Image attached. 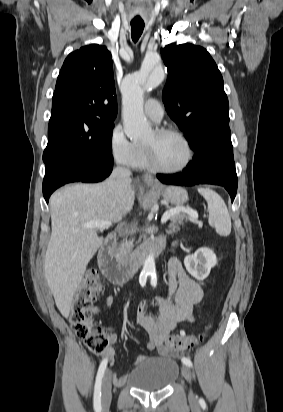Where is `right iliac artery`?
I'll use <instances>...</instances> for the list:
<instances>
[{
	"label": "right iliac artery",
	"mask_w": 283,
	"mask_h": 412,
	"mask_svg": "<svg viewBox=\"0 0 283 412\" xmlns=\"http://www.w3.org/2000/svg\"><path fill=\"white\" fill-rule=\"evenodd\" d=\"M146 278L147 275H142L140 278V284L142 286H144L146 284ZM107 363L108 360L107 358L103 359V361L101 362L98 372H97V376H96V381H95V388H94V409L96 410V412H100L101 410V384H102V378L104 376L106 367H107Z\"/></svg>",
	"instance_id": "obj_1"
}]
</instances>
